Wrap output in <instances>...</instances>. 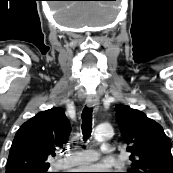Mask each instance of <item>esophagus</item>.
Here are the masks:
<instances>
[{"label": "esophagus", "mask_w": 173, "mask_h": 173, "mask_svg": "<svg viewBox=\"0 0 173 173\" xmlns=\"http://www.w3.org/2000/svg\"><path fill=\"white\" fill-rule=\"evenodd\" d=\"M86 105L89 108H94V110L96 111L98 109V106H99L98 96L95 94L88 95L86 98Z\"/></svg>", "instance_id": "esophagus-1"}]
</instances>
